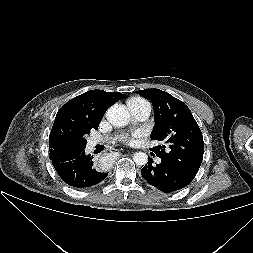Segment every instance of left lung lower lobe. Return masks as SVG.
<instances>
[{
	"label": "left lung lower lobe",
	"instance_id": "obj_1",
	"mask_svg": "<svg viewBox=\"0 0 253 253\" xmlns=\"http://www.w3.org/2000/svg\"><path fill=\"white\" fill-rule=\"evenodd\" d=\"M152 162L153 160L149 158L141 174L150 185L162 192L171 193L180 190L193 180L168 162L162 160L156 165H152Z\"/></svg>",
	"mask_w": 253,
	"mask_h": 253
}]
</instances>
